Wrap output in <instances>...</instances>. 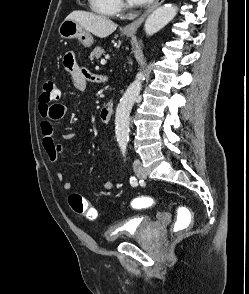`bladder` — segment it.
I'll return each mask as SVG.
<instances>
[{"label": "bladder", "instance_id": "bladder-1", "mask_svg": "<svg viewBox=\"0 0 249 294\" xmlns=\"http://www.w3.org/2000/svg\"><path fill=\"white\" fill-rule=\"evenodd\" d=\"M125 223L126 227L121 232L115 233L113 227L109 228L104 233V240L107 243H115L121 239H139L150 231L151 226L155 223V218L148 215H141Z\"/></svg>", "mask_w": 249, "mask_h": 294}]
</instances>
